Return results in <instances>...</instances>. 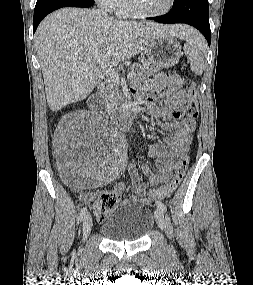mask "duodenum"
Listing matches in <instances>:
<instances>
[{
	"mask_svg": "<svg viewBox=\"0 0 253 285\" xmlns=\"http://www.w3.org/2000/svg\"><path fill=\"white\" fill-rule=\"evenodd\" d=\"M88 106L91 110L100 112L104 103L99 92L92 94L88 99ZM112 120L123 129L130 128L135 121L133 106L129 103L123 104L111 112Z\"/></svg>",
	"mask_w": 253,
	"mask_h": 285,
	"instance_id": "1",
	"label": "duodenum"
}]
</instances>
